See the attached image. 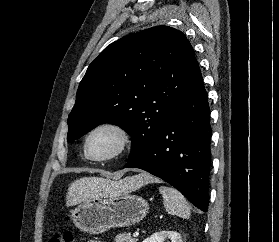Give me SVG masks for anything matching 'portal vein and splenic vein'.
Returning <instances> with one entry per match:
<instances>
[{
	"mask_svg": "<svg viewBox=\"0 0 279 242\" xmlns=\"http://www.w3.org/2000/svg\"><path fill=\"white\" fill-rule=\"evenodd\" d=\"M139 236V231H135L134 233H133V237H138Z\"/></svg>",
	"mask_w": 279,
	"mask_h": 242,
	"instance_id": "18ae733b",
	"label": "portal vein and splenic vein"
}]
</instances>
